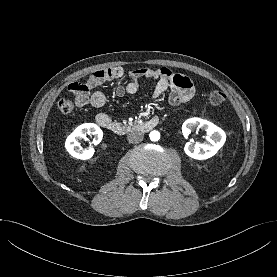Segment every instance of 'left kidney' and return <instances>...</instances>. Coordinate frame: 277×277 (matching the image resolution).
Here are the masks:
<instances>
[{
    "label": "left kidney",
    "mask_w": 277,
    "mask_h": 277,
    "mask_svg": "<svg viewBox=\"0 0 277 277\" xmlns=\"http://www.w3.org/2000/svg\"><path fill=\"white\" fill-rule=\"evenodd\" d=\"M194 129H202L206 131L207 136L204 143H186L184 151L193 159L205 160L214 156L226 141L225 132L207 120L201 118H190L183 123L182 131L185 137Z\"/></svg>",
    "instance_id": "5707ae66"
}]
</instances>
